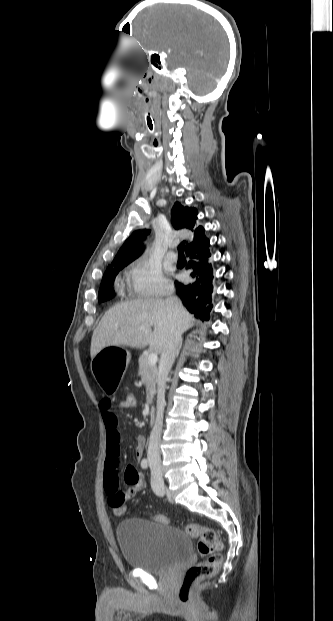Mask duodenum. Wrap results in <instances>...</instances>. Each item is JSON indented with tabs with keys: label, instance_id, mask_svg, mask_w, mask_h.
Wrapping results in <instances>:
<instances>
[{
	"label": "duodenum",
	"instance_id": "410a0bca",
	"mask_svg": "<svg viewBox=\"0 0 333 621\" xmlns=\"http://www.w3.org/2000/svg\"><path fill=\"white\" fill-rule=\"evenodd\" d=\"M156 421V410L155 409H151L149 412V423L151 426H153L155 424Z\"/></svg>",
	"mask_w": 333,
	"mask_h": 621
}]
</instances>
